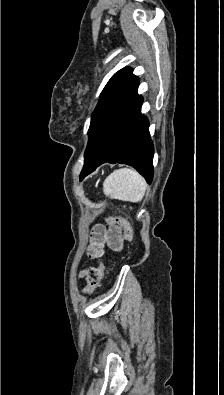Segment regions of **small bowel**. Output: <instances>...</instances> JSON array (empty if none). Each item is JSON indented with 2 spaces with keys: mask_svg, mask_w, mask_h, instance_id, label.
<instances>
[{
  "mask_svg": "<svg viewBox=\"0 0 224 395\" xmlns=\"http://www.w3.org/2000/svg\"><path fill=\"white\" fill-rule=\"evenodd\" d=\"M106 243H108L112 248L116 249L121 246L122 239L115 230L107 233L103 226H95L92 231L90 244L87 248L88 256L91 259L101 257L104 253V246Z\"/></svg>",
  "mask_w": 224,
  "mask_h": 395,
  "instance_id": "c3829d8e",
  "label": "small bowel"
}]
</instances>
